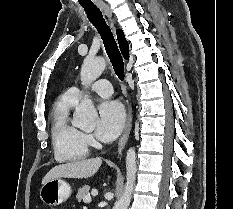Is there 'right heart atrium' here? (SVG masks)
I'll return each instance as SVG.
<instances>
[{
	"mask_svg": "<svg viewBox=\"0 0 233 209\" xmlns=\"http://www.w3.org/2000/svg\"><path fill=\"white\" fill-rule=\"evenodd\" d=\"M83 138H84L85 142L88 145H94L95 144V141H94V138H93L92 135H90V134H83Z\"/></svg>",
	"mask_w": 233,
	"mask_h": 209,
	"instance_id": "right-heart-atrium-1",
	"label": "right heart atrium"
}]
</instances>
